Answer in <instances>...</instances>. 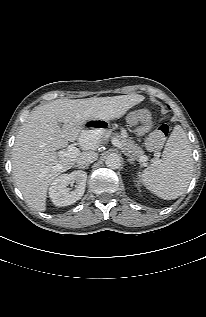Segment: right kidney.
<instances>
[{"label":"right kidney","mask_w":206,"mask_h":317,"mask_svg":"<svg viewBox=\"0 0 206 317\" xmlns=\"http://www.w3.org/2000/svg\"><path fill=\"white\" fill-rule=\"evenodd\" d=\"M87 173L84 171H73L70 174L58 176L49 188V197L56 206H67L81 199L85 191ZM76 183L75 189L69 191L67 186Z\"/></svg>","instance_id":"ca27d5eb"}]
</instances>
